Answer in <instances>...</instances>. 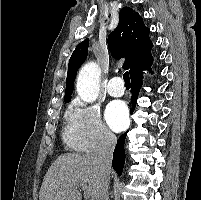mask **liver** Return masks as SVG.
<instances>
[{"instance_id": "liver-1", "label": "liver", "mask_w": 201, "mask_h": 200, "mask_svg": "<svg viewBox=\"0 0 201 200\" xmlns=\"http://www.w3.org/2000/svg\"><path fill=\"white\" fill-rule=\"evenodd\" d=\"M101 171L94 154L65 153L48 169L39 200H81L80 184H85L96 200Z\"/></svg>"}]
</instances>
